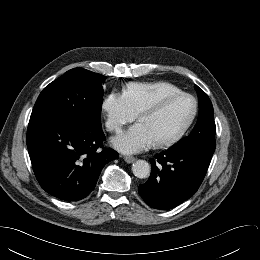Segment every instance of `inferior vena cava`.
I'll use <instances>...</instances> for the list:
<instances>
[{"mask_svg": "<svg viewBox=\"0 0 260 260\" xmlns=\"http://www.w3.org/2000/svg\"><path fill=\"white\" fill-rule=\"evenodd\" d=\"M114 126L111 124V125H109V128H113Z\"/></svg>", "mask_w": 260, "mask_h": 260, "instance_id": "602c4592", "label": "inferior vena cava"}]
</instances>
